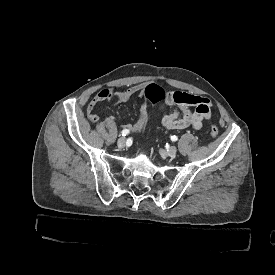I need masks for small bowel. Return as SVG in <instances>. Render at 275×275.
<instances>
[{"mask_svg": "<svg viewBox=\"0 0 275 275\" xmlns=\"http://www.w3.org/2000/svg\"><path fill=\"white\" fill-rule=\"evenodd\" d=\"M145 89L143 83L132 85L122 91L102 89L88 104L99 118L96 107L102 101H109L112 104H121L129 100L134 95H142ZM164 106L175 108L171 113L162 118V126L169 130H181L191 127L195 130L202 128L203 122L211 117V103L202 96L194 95L183 91H172L167 94L163 102L157 106L158 113ZM194 107V110L190 108ZM148 120H146L147 122ZM130 130H135L131 125L126 126Z\"/></svg>", "mask_w": 275, "mask_h": 275, "instance_id": "small-bowel-1", "label": "small bowel"}]
</instances>
